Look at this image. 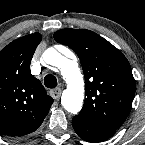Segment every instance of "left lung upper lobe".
<instances>
[{
	"instance_id": "5c2ea615",
	"label": "left lung upper lobe",
	"mask_w": 145,
	"mask_h": 145,
	"mask_svg": "<svg viewBox=\"0 0 145 145\" xmlns=\"http://www.w3.org/2000/svg\"><path fill=\"white\" fill-rule=\"evenodd\" d=\"M54 39L79 57L85 77V103L79 119L93 127L115 132L127 118L135 94V80L120 50L98 34L62 29Z\"/></svg>"
}]
</instances>
